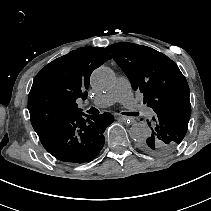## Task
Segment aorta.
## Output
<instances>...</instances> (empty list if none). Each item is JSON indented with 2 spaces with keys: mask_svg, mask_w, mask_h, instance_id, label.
Listing matches in <instances>:
<instances>
[{
  "mask_svg": "<svg viewBox=\"0 0 211 211\" xmlns=\"http://www.w3.org/2000/svg\"><path fill=\"white\" fill-rule=\"evenodd\" d=\"M114 81V72L105 66L97 68L91 75V86L96 90H107ZM129 135L135 141H143L150 135V132L144 124L134 123L129 129Z\"/></svg>",
  "mask_w": 211,
  "mask_h": 211,
  "instance_id": "aorta-1",
  "label": "aorta"
}]
</instances>
